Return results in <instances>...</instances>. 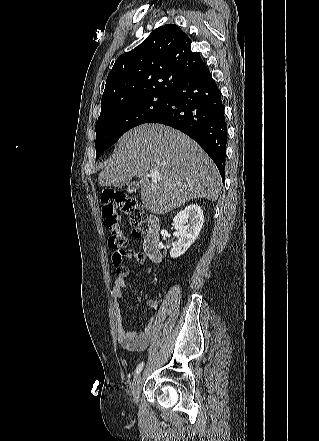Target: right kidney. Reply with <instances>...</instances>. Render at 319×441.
Masks as SVG:
<instances>
[{"mask_svg": "<svg viewBox=\"0 0 319 441\" xmlns=\"http://www.w3.org/2000/svg\"><path fill=\"white\" fill-rule=\"evenodd\" d=\"M186 223L188 224L185 226ZM203 223V211L197 204H189L177 213L173 219V226L179 235V239L170 251L171 258L181 256L190 248L197 239Z\"/></svg>", "mask_w": 319, "mask_h": 441, "instance_id": "ca27d5eb", "label": "right kidney"}]
</instances>
